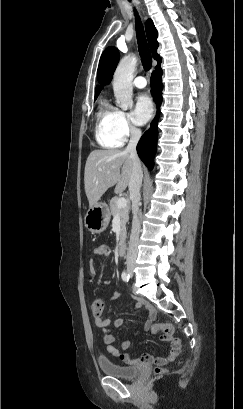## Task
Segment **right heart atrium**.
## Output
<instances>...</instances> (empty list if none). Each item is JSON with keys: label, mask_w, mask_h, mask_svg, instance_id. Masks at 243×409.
Returning a JSON list of instances; mask_svg holds the SVG:
<instances>
[{"label": "right heart atrium", "mask_w": 243, "mask_h": 409, "mask_svg": "<svg viewBox=\"0 0 243 409\" xmlns=\"http://www.w3.org/2000/svg\"><path fill=\"white\" fill-rule=\"evenodd\" d=\"M114 130L121 140L129 138L137 132V128L130 122L129 115L121 110L116 112Z\"/></svg>", "instance_id": "obj_1"}]
</instances>
